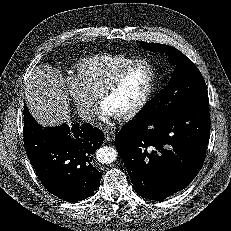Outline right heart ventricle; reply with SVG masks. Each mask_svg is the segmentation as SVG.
I'll return each instance as SVG.
<instances>
[{
	"instance_id": "1",
	"label": "right heart ventricle",
	"mask_w": 231,
	"mask_h": 231,
	"mask_svg": "<svg viewBox=\"0 0 231 231\" xmlns=\"http://www.w3.org/2000/svg\"><path fill=\"white\" fill-rule=\"evenodd\" d=\"M136 60L126 54H99L80 61L73 76L91 96L97 97L104 84L122 68Z\"/></svg>"
}]
</instances>
